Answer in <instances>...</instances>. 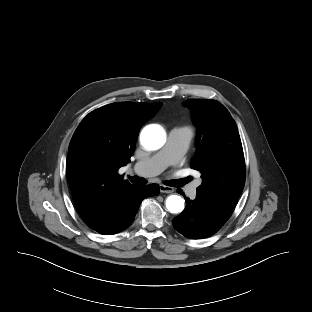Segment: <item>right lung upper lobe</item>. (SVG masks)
<instances>
[{
  "mask_svg": "<svg viewBox=\"0 0 312 312\" xmlns=\"http://www.w3.org/2000/svg\"><path fill=\"white\" fill-rule=\"evenodd\" d=\"M162 103L116 102L89 113L69 144L67 178L78 213L89 225L106 217L134 184L118 169L130 162L141 126Z\"/></svg>",
  "mask_w": 312,
  "mask_h": 312,
  "instance_id": "1",
  "label": "right lung upper lobe"
}]
</instances>
